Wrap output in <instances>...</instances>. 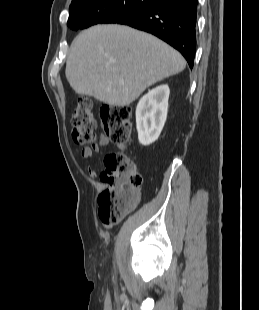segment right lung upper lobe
I'll use <instances>...</instances> for the list:
<instances>
[{
  "label": "right lung upper lobe",
  "mask_w": 259,
  "mask_h": 310,
  "mask_svg": "<svg viewBox=\"0 0 259 310\" xmlns=\"http://www.w3.org/2000/svg\"><path fill=\"white\" fill-rule=\"evenodd\" d=\"M98 1H101V0H72L69 10H73L75 8L82 7V6L91 5Z\"/></svg>",
  "instance_id": "right-lung-upper-lobe-1"
}]
</instances>
